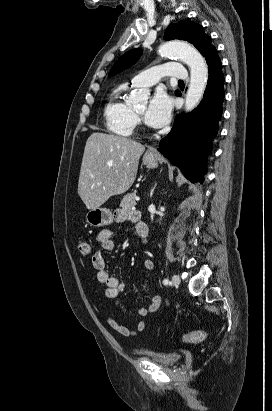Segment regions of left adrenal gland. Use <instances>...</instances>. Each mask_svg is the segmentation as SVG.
<instances>
[{
  "mask_svg": "<svg viewBox=\"0 0 272 411\" xmlns=\"http://www.w3.org/2000/svg\"><path fill=\"white\" fill-rule=\"evenodd\" d=\"M154 189H155V188H153V190H152V192H151V193H153V192H154Z\"/></svg>",
  "mask_w": 272,
  "mask_h": 411,
  "instance_id": "1",
  "label": "left adrenal gland"
}]
</instances>
